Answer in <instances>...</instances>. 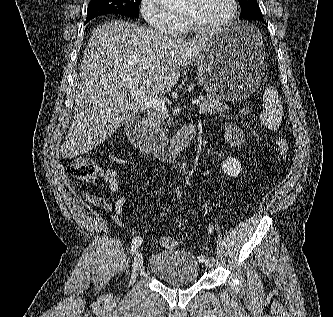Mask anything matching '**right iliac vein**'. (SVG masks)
<instances>
[{
  "label": "right iliac vein",
  "instance_id": "right-iliac-vein-1",
  "mask_svg": "<svg viewBox=\"0 0 333 317\" xmlns=\"http://www.w3.org/2000/svg\"><path fill=\"white\" fill-rule=\"evenodd\" d=\"M142 265H143V255L140 251H138L134 257L132 274H131L129 285H132L135 282V280L138 276V273L142 268Z\"/></svg>",
  "mask_w": 333,
  "mask_h": 317
}]
</instances>
